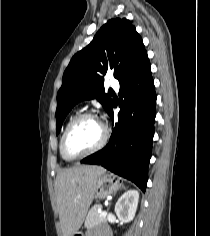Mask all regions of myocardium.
Returning <instances> with one entry per match:
<instances>
[{
    "instance_id": "obj_1",
    "label": "myocardium",
    "mask_w": 210,
    "mask_h": 236,
    "mask_svg": "<svg viewBox=\"0 0 210 236\" xmlns=\"http://www.w3.org/2000/svg\"><path fill=\"white\" fill-rule=\"evenodd\" d=\"M84 118H93V119L97 120L101 124L102 130H103L102 137H101V140L99 141V143L96 146H94L93 148H91L90 150H88V151H86V152H84V153H82L80 155L71 157L66 152V148H65L66 139H67V136H68L71 128L73 127V125L75 123H77L78 121H80L81 119H84ZM108 139H109V130H108L107 126L98 118V116L95 113H92V112L80 113L77 116H75L68 123V125L66 126V128H65V130L63 132V135H62V138H61V142H60L61 155L67 161H75V160H78V159H82V158H84V157H86L88 155H91V154L99 151L100 149H102L106 145Z\"/></svg>"
}]
</instances>
